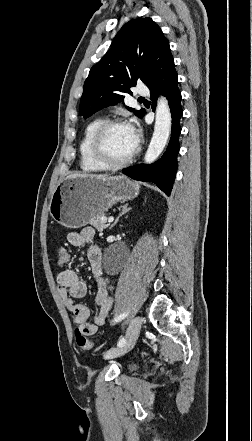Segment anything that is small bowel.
Returning a JSON list of instances; mask_svg holds the SVG:
<instances>
[{
  "label": "small bowel",
  "instance_id": "obj_1",
  "mask_svg": "<svg viewBox=\"0 0 252 441\" xmlns=\"http://www.w3.org/2000/svg\"><path fill=\"white\" fill-rule=\"evenodd\" d=\"M94 237L95 230L92 227H85L80 232H71L67 237L72 246H89L87 256L98 286L95 295L98 310L92 321H88L90 318L89 308L74 301L86 295V283L79 277L77 272L71 269L62 270L57 275L58 289L65 308L70 312L77 327L88 336L95 334L98 327L105 324L113 305V288L103 276L102 253L100 248L93 243Z\"/></svg>",
  "mask_w": 252,
  "mask_h": 441
}]
</instances>
